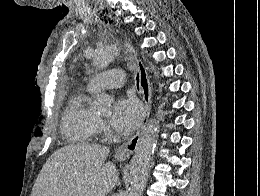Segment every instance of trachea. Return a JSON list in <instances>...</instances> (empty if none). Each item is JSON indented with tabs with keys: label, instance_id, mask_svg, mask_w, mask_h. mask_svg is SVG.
Instances as JSON below:
<instances>
[{
	"label": "trachea",
	"instance_id": "trachea-1",
	"mask_svg": "<svg viewBox=\"0 0 260 196\" xmlns=\"http://www.w3.org/2000/svg\"><path fill=\"white\" fill-rule=\"evenodd\" d=\"M137 80V88L139 89V76L136 77Z\"/></svg>",
	"mask_w": 260,
	"mask_h": 196
}]
</instances>
